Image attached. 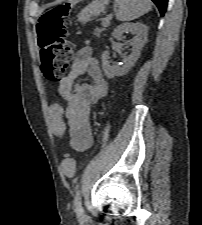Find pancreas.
Here are the masks:
<instances>
[{"mask_svg":"<svg viewBox=\"0 0 202 225\" xmlns=\"http://www.w3.org/2000/svg\"><path fill=\"white\" fill-rule=\"evenodd\" d=\"M109 24H103V20H102V26L103 28H96L93 32V34L96 36V37H99L100 34L102 33L103 30H105V28L108 26Z\"/></svg>","mask_w":202,"mask_h":225,"instance_id":"1","label":"pancreas"}]
</instances>
